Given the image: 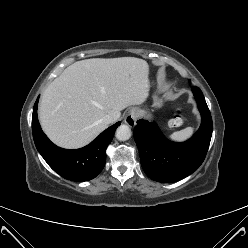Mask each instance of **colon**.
<instances>
[{"label":"colon","instance_id":"1","mask_svg":"<svg viewBox=\"0 0 248 248\" xmlns=\"http://www.w3.org/2000/svg\"><path fill=\"white\" fill-rule=\"evenodd\" d=\"M185 120V115L181 110H177L172 119L170 120V125L172 126H179L181 125Z\"/></svg>","mask_w":248,"mask_h":248}]
</instances>
